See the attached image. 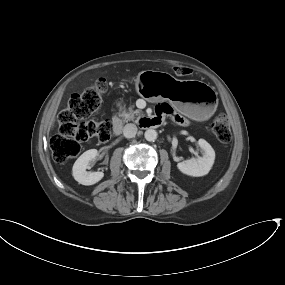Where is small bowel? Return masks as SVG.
<instances>
[{"instance_id": "small-bowel-1", "label": "small bowel", "mask_w": 285, "mask_h": 285, "mask_svg": "<svg viewBox=\"0 0 285 285\" xmlns=\"http://www.w3.org/2000/svg\"><path fill=\"white\" fill-rule=\"evenodd\" d=\"M168 112V109H163L162 107L157 108V117L155 118L157 122H160L163 115Z\"/></svg>"}]
</instances>
